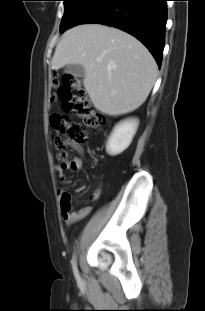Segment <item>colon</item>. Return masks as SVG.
<instances>
[{"mask_svg": "<svg viewBox=\"0 0 205 311\" xmlns=\"http://www.w3.org/2000/svg\"><path fill=\"white\" fill-rule=\"evenodd\" d=\"M52 102H60L65 112L81 120L75 121L68 115L52 114L50 122L57 133L56 144L65 158L67 150L76 149L89 138L91 130H97L106 124L86 98L81 80L71 74L55 76L51 81Z\"/></svg>", "mask_w": 205, "mask_h": 311, "instance_id": "5ec220e1", "label": "colon"}]
</instances>
